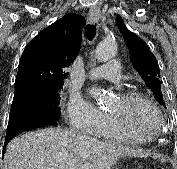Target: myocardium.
<instances>
[{
	"label": "myocardium",
	"instance_id": "myocardium-1",
	"mask_svg": "<svg viewBox=\"0 0 177 169\" xmlns=\"http://www.w3.org/2000/svg\"><path fill=\"white\" fill-rule=\"evenodd\" d=\"M120 98L123 103L128 104V105H132L134 103H142L148 106L157 115L159 122H160L159 127L152 133L143 135V136H135V135L128 133L127 127L125 124L126 123L125 119L121 115L109 113V117L112 119L117 129L124 135L126 139L137 141V142H140L143 140L149 141V140L155 139L157 136L161 134V132L163 131L164 125H165L164 117L159 107L147 95H145L141 91L130 89V90H126L122 92L120 94Z\"/></svg>",
	"mask_w": 177,
	"mask_h": 169
}]
</instances>
